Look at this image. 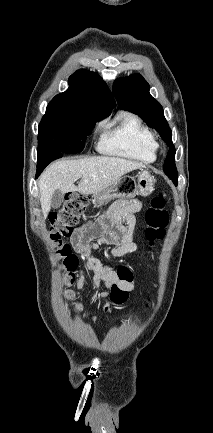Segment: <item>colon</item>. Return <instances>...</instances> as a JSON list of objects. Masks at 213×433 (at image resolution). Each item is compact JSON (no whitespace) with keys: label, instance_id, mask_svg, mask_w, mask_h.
Segmentation results:
<instances>
[{"label":"colon","instance_id":"5ec220e1","mask_svg":"<svg viewBox=\"0 0 213 433\" xmlns=\"http://www.w3.org/2000/svg\"><path fill=\"white\" fill-rule=\"evenodd\" d=\"M87 205V198L79 194H72L58 211L51 213L49 216L48 234L55 248V253L61 262V281L66 287L64 295L77 312H83V306L80 303L74 302L75 293L70 289V286L74 282L73 271L78 265V259L72 254L71 247L64 241V238L73 233ZM145 220L147 224L145 237L153 245L156 241L163 239L165 227L169 220L165 195L163 193L157 194L151 200L150 206L146 211ZM117 274L120 281H132V274L125 267L119 268ZM127 297V291L118 286L112 288L111 299L113 302L121 304L126 301Z\"/></svg>","mask_w":213,"mask_h":433}]
</instances>
